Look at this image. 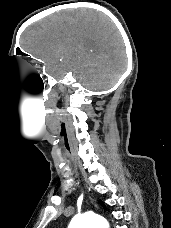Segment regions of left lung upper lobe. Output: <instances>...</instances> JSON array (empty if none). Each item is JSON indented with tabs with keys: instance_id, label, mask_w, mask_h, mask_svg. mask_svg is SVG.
Listing matches in <instances>:
<instances>
[{
	"instance_id": "obj_1",
	"label": "left lung upper lobe",
	"mask_w": 171,
	"mask_h": 228,
	"mask_svg": "<svg viewBox=\"0 0 171 228\" xmlns=\"http://www.w3.org/2000/svg\"><path fill=\"white\" fill-rule=\"evenodd\" d=\"M100 203H101V205L105 208V206H104L103 202H101V201H100Z\"/></svg>"
}]
</instances>
